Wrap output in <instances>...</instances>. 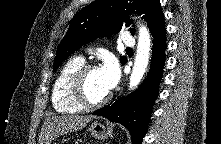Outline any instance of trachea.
<instances>
[{
    "label": "trachea",
    "mask_w": 221,
    "mask_h": 144,
    "mask_svg": "<svg viewBox=\"0 0 221 144\" xmlns=\"http://www.w3.org/2000/svg\"><path fill=\"white\" fill-rule=\"evenodd\" d=\"M126 50H131V48H126Z\"/></svg>",
    "instance_id": "obj_1"
}]
</instances>
